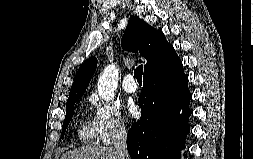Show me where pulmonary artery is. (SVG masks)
<instances>
[{"instance_id": "e3ab8cb5", "label": "pulmonary artery", "mask_w": 253, "mask_h": 159, "mask_svg": "<svg viewBox=\"0 0 253 159\" xmlns=\"http://www.w3.org/2000/svg\"><path fill=\"white\" fill-rule=\"evenodd\" d=\"M122 88L127 93H134L137 90V84L134 81L133 74H127L122 81Z\"/></svg>"}]
</instances>
